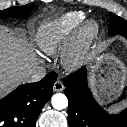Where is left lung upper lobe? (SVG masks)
Instances as JSON below:
<instances>
[{"label":"left lung upper lobe","mask_w":127,"mask_h":127,"mask_svg":"<svg viewBox=\"0 0 127 127\" xmlns=\"http://www.w3.org/2000/svg\"><path fill=\"white\" fill-rule=\"evenodd\" d=\"M111 21L109 25V34L110 36H114L116 34H124L127 33V21L123 18L110 13Z\"/></svg>","instance_id":"left-lung-upper-lobe-1"}]
</instances>
